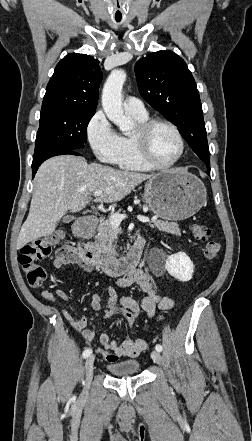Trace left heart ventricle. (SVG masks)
Wrapping results in <instances>:
<instances>
[{"label": "left heart ventricle", "mask_w": 252, "mask_h": 441, "mask_svg": "<svg viewBox=\"0 0 252 441\" xmlns=\"http://www.w3.org/2000/svg\"><path fill=\"white\" fill-rule=\"evenodd\" d=\"M149 148L158 163H168L179 153L180 144L173 131L165 126L156 127L149 138Z\"/></svg>", "instance_id": "left-heart-ventricle-1"}]
</instances>
